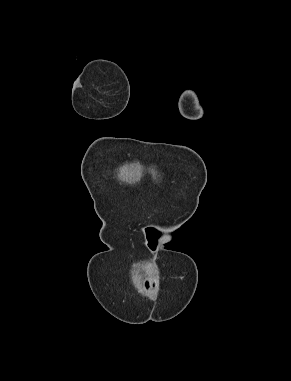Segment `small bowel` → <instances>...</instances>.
I'll list each match as a JSON object with an SVG mask.
<instances>
[{
	"instance_id": "obj_1",
	"label": "small bowel",
	"mask_w": 291,
	"mask_h": 381,
	"mask_svg": "<svg viewBox=\"0 0 291 381\" xmlns=\"http://www.w3.org/2000/svg\"><path fill=\"white\" fill-rule=\"evenodd\" d=\"M153 283H146V289L150 292V291H152V289H153Z\"/></svg>"
}]
</instances>
